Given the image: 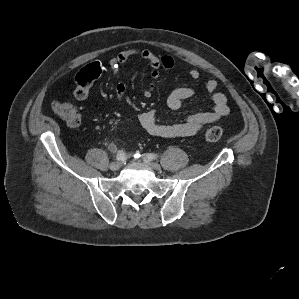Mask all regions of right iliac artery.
Returning <instances> with one entry per match:
<instances>
[{
    "instance_id": "right-iliac-artery-1",
    "label": "right iliac artery",
    "mask_w": 299,
    "mask_h": 299,
    "mask_svg": "<svg viewBox=\"0 0 299 299\" xmlns=\"http://www.w3.org/2000/svg\"><path fill=\"white\" fill-rule=\"evenodd\" d=\"M116 159L118 161H122L125 159V153L123 151H119L118 154L116 155Z\"/></svg>"
}]
</instances>
